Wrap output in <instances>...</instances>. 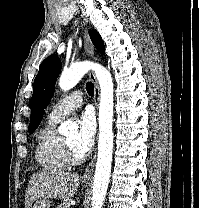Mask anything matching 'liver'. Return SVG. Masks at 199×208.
Returning <instances> with one entry per match:
<instances>
[{"mask_svg": "<svg viewBox=\"0 0 199 208\" xmlns=\"http://www.w3.org/2000/svg\"><path fill=\"white\" fill-rule=\"evenodd\" d=\"M79 175L61 171H40L34 173L29 181L25 197V208L41 198L68 199L78 187Z\"/></svg>", "mask_w": 199, "mask_h": 208, "instance_id": "obj_1", "label": "liver"}]
</instances>
